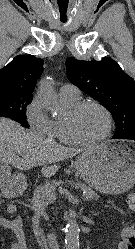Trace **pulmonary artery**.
<instances>
[{"label": "pulmonary artery", "mask_w": 135, "mask_h": 249, "mask_svg": "<svg viewBox=\"0 0 135 249\" xmlns=\"http://www.w3.org/2000/svg\"><path fill=\"white\" fill-rule=\"evenodd\" d=\"M59 94L61 97L69 99H79L80 90L77 86L73 84H64L59 89Z\"/></svg>", "instance_id": "obj_1"}]
</instances>
